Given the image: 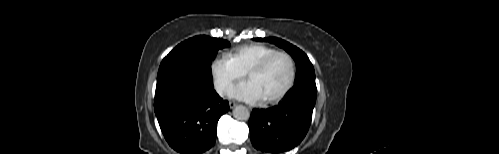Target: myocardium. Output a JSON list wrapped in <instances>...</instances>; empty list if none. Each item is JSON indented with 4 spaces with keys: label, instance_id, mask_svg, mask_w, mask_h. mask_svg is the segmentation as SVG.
<instances>
[{
    "label": "myocardium",
    "instance_id": "obj_1",
    "mask_svg": "<svg viewBox=\"0 0 499 154\" xmlns=\"http://www.w3.org/2000/svg\"><path fill=\"white\" fill-rule=\"evenodd\" d=\"M277 56H283L288 60L290 67V74L284 88L276 96L271 97L269 99H265L264 103L266 104H274L281 101L291 90L296 77V65L294 58L286 51L276 50L270 53L269 55L265 56L260 61H258L256 64L250 67L249 70L246 72V75L248 77L251 73L263 71L270 64V62Z\"/></svg>",
    "mask_w": 499,
    "mask_h": 154
}]
</instances>
